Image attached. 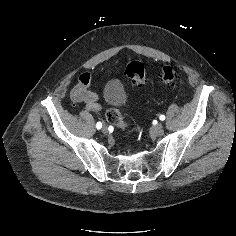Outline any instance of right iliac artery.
Segmentation results:
<instances>
[{"label": "right iliac artery", "mask_w": 236, "mask_h": 236, "mask_svg": "<svg viewBox=\"0 0 236 236\" xmlns=\"http://www.w3.org/2000/svg\"><path fill=\"white\" fill-rule=\"evenodd\" d=\"M96 128H97V129H101V128H102V123H101V122H97Z\"/></svg>", "instance_id": "right-iliac-artery-1"}]
</instances>
